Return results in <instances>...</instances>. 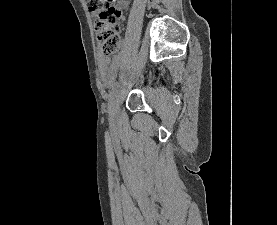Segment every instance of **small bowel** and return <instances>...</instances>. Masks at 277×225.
<instances>
[{
  "instance_id": "small-bowel-1",
  "label": "small bowel",
  "mask_w": 277,
  "mask_h": 225,
  "mask_svg": "<svg viewBox=\"0 0 277 225\" xmlns=\"http://www.w3.org/2000/svg\"><path fill=\"white\" fill-rule=\"evenodd\" d=\"M126 0H118V5L124 7L126 5ZM122 63V55H114L109 58L104 54H99L98 56V73L101 81L105 85H110L114 82L117 77L118 70Z\"/></svg>"
}]
</instances>
